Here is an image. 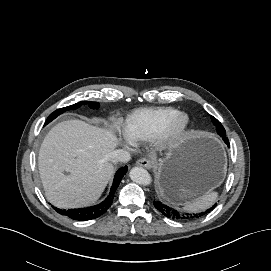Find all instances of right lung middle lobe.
Returning a JSON list of instances; mask_svg holds the SVG:
<instances>
[{
    "instance_id": "1",
    "label": "right lung middle lobe",
    "mask_w": 271,
    "mask_h": 271,
    "mask_svg": "<svg viewBox=\"0 0 271 271\" xmlns=\"http://www.w3.org/2000/svg\"><path fill=\"white\" fill-rule=\"evenodd\" d=\"M85 103H86L85 101H81V102H78L76 104H73V105H70V106H67V107H64V108H61V109H58V110L54 111L47 118V120L45 122V125L48 124L49 122H51L52 120H54L58 115L62 114L63 112L68 111V110H75V109H77L78 107H80L81 105H83ZM87 104L92 109H97L99 107V103H97V102L88 101Z\"/></svg>"
}]
</instances>
